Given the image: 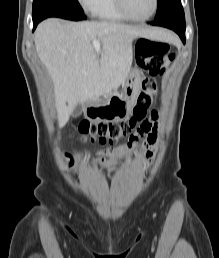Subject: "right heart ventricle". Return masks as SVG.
Here are the masks:
<instances>
[{
  "label": "right heart ventricle",
  "instance_id": "right-heart-ventricle-1",
  "mask_svg": "<svg viewBox=\"0 0 219 258\" xmlns=\"http://www.w3.org/2000/svg\"><path fill=\"white\" fill-rule=\"evenodd\" d=\"M92 13L95 17L107 21H123L126 18L119 12L115 0H98Z\"/></svg>",
  "mask_w": 219,
  "mask_h": 258
}]
</instances>
